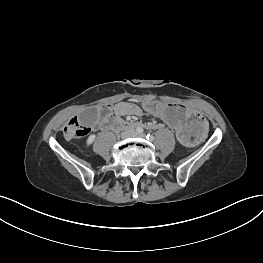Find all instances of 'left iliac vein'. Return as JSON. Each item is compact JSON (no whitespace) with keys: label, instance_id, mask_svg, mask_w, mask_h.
<instances>
[{"label":"left iliac vein","instance_id":"obj_1","mask_svg":"<svg viewBox=\"0 0 263 263\" xmlns=\"http://www.w3.org/2000/svg\"><path fill=\"white\" fill-rule=\"evenodd\" d=\"M138 136L142 137V138H145V134H143V133L138 134Z\"/></svg>","mask_w":263,"mask_h":263}]
</instances>
